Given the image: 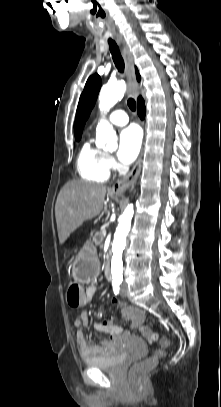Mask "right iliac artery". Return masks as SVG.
<instances>
[{
	"label": "right iliac artery",
	"mask_w": 221,
	"mask_h": 407,
	"mask_svg": "<svg viewBox=\"0 0 221 407\" xmlns=\"http://www.w3.org/2000/svg\"><path fill=\"white\" fill-rule=\"evenodd\" d=\"M119 285H120V283L119 282H113L112 283V286H113V291H114V293L115 294H118L119 293Z\"/></svg>",
	"instance_id": "right-iliac-artery-1"
}]
</instances>
